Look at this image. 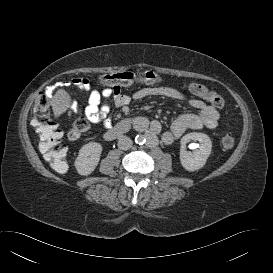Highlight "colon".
Here are the masks:
<instances>
[{"label": "colon", "mask_w": 273, "mask_h": 273, "mask_svg": "<svg viewBox=\"0 0 273 273\" xmlns=\"http://www.w3.org/2000/svg\"><path fill=\"white\" fill-rule=\"evenodd\" d=\"M99 81L102 85L108 87L120 88L136 83L156 84L161 81L160 76L151 70L125 71L119 73L101 75ZM191 90L200 96H203L212 106L221 109L224 107V98L218 93L209 90L205 86L192 83ZM52 94L46 90L40 92L34 107V116L31 120L40 138V150L44 159L58 173L67 171L66 148L63 143V135L58 124L50 118L49 108ZM90 125L87 119L78 118L69 131L71 139L78 138L81 134L88 131ZM221 145L225 149L234 146V138L231 135H224L221 138Z\"/></svg>", "instance_id": "5ec220e1"}]
</instances>
